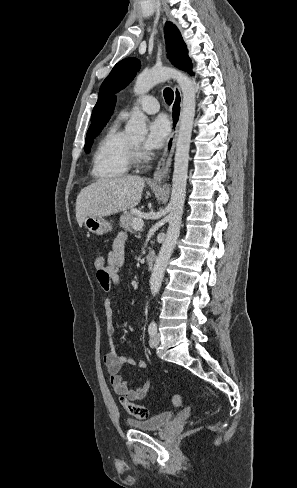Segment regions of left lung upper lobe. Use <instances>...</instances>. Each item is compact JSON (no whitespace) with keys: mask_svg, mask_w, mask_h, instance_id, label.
Here are the masks:
<instances>
[{"mask_svg":"<svg viewBox=\"0 0 297 488\" xmlns=\"http://www.w3.org/2000/svg\"><path fill=\"white\" fill-rule=\"evenodd\" d=\"M164 32L170 61L177 68L192 74V64L179 30L171 22H167ZM140 67V62L136 58L124 59L113 67L100 87L98 101L93 109L92 118L111 95L125 88L133 80Z\"/></svg>","mask_w":297,"mask_h":488,"instance_id":"obj_1","label":"left lung upper lobe"}]
</instances>
